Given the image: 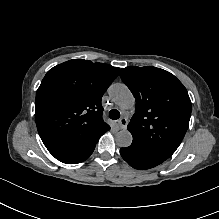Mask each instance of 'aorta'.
<instances>
[{
    "label": "aorta",
    "instance_id": "762f6f07",
    "mask_svg": "<svg viewBox=\"0 0 219 219\" xmlns=\"http://www.w3.org/2000/svg\"><path fill=\"white\" fill-rule=\"evenodd\" d=\"M109 95L121 109H130L134 107L135 99L128 87L122 83L112 84L109 87ZM115 141L118 146L125 148L132 144L133 137L127 129H123L117 132Z\"/></svg>",
    "mask_w": 219,
    "mask_h": 219
}]
</instances>
